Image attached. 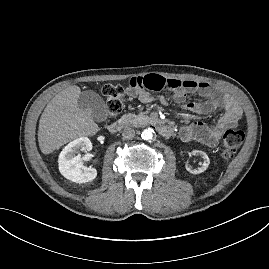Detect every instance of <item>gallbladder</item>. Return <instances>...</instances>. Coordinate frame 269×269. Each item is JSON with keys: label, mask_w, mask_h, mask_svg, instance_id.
<instances>
[{"label": "gallbladder", "mask_w": 269, "mask_h": 269, "mask_svg": "<svg viewBox=\"0 0 269 269\" xmlns=\"http://www.w3.org/2000/svg\"><path fill=\"white\" fill-rule=\"evenodd\" d=\"M80 109L88 111L92 118L97 122L107 120L108 112L102 97L92 90L81 92L78 98Z\"/></svg>", "instance_id": "bac80fb5"}]
</instances>
